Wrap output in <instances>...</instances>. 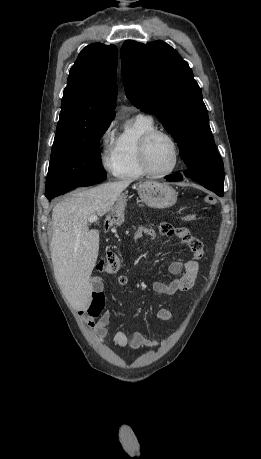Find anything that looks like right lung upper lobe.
<instances>
[{
	"mask_svg": "<svg viewBox=\"0 0 261 459\" xmlns=\"http://www.w3.org/2000/svg\"><path fill=\"white\" fill-rule=\"evenodd\" d=\"M117 48L93 43L70 69L55 138L76 134L114 118L117 99Z\"/></svg>",
	"mask_w": 261,
	"mask_h": 459,
	"instance_id": "obj_1",
	"label": "right lung upper lobe"
}]
</instances>
